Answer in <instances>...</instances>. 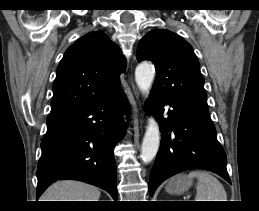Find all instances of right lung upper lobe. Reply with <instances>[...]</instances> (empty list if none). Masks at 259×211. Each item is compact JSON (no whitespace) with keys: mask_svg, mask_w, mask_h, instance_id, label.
<instances>
[{"mask_svg":"<svg viewBox=\"0 0 259 211\" xmlns=\"http://www.w3.org/2000/svg\"><path fill=\"white\" fill-rule=\"evenodd\" d=\"M121 50L101 31L90 32L65 52L53 84L51 112L80 108L121 91Z\"/></svg>","mask_w":259,"mask_h":211,"instance_id":"cb5924a9","label":"right lung upper lobe"}]
</instances>
